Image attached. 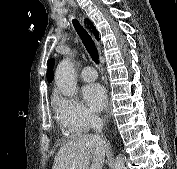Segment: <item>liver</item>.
I'll return each mask as SVG.
<instances>
[{
	"mask_svg": "<svg viewBox=\"0 0 177 169\" xmlns=\"http://www.w3.org/2000/svg\"><path fill=\"white\" fill-rule=\"evenodd\" d=\"M108 148V142L100 137L80 136L60 148L52 169H102Z\"/></svg>",
	"mask_w": 177,
	"mask_h": 169,
	"instance_id": "6515ba94",
	"label": "liver"
}]
</instances>
